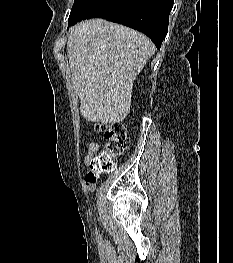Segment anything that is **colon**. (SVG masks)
Wrapping results in <instances>:
<instances>
[{
  "label": "colon",
  "mask_w": 233,
  "mask_h": 263,
  "mask_svg": "<svg viewBox=\"0 0 233 263\" xmlns=\"http://www.w3.org/2000/svg\"><path fill=\"white\" fill-rule=\"evenodd\" d=\"M95 129L104 134L106 144L90 163V170L85 176V181L88 183H95L99 175L113 171L117 157L122 155L129 146V137L124 124L96 123Z\"/></svg>",
  "instance_id": "5ec220e1"
}]
</instances>
